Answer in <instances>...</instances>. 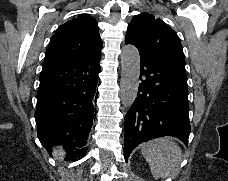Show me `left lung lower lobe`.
<instances>
[{
	"label": "left lung lower lobe",
	"instance_id": "0a47b994",
	"mask_svg": "<svg viewBox=\"0 0 228 181\" xmlns=\"http://www.w3.org/2000/svg\"><path fill=\"white\" fill-rule=\"evenodd\" d=\"M140 61L142 82L124 122L126 161L135 147L154 138L178 137L187 145L191 131L185 66L145 53Z\"/></svg>",
	"mask_w": 228,
	"mask_h": 181
}]
</instances>
